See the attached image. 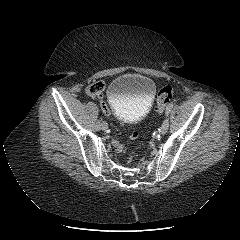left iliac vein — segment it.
<instances>
[{
	"label": "left iliac vein",
	"mask_w": 240,
	"mask_h": 240,
	"mask_svg": "<svg viewBox=\"0 0 240 240\" xmlns=\"http://www.w3.org/2000/svg\"><path fill=\"white\" fill-rule=\"evenodd\" d=\"M169 128V119H166L161 126V134H165Z\"/></svg>",
	"instance_id": "1"
}]
</instances>
